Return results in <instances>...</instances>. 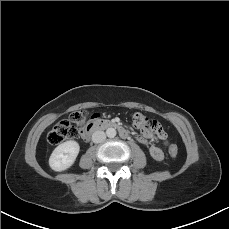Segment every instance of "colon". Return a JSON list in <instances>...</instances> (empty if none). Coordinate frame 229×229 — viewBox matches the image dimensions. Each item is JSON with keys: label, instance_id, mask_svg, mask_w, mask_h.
I'll use <instances>...</instances> for the list:
<instances>
[{"label": "colon", "instance_id": "5ec220e1", "mask_svg": "<svg viewBox=\"0 0 229 229\" xmlns=\"http://www.w3.org/2000/svg\"><path fill=\"white\" fill-rule=\"evenodd\" d=\"M88 118V112L85 110L73 111L68 120H63L55 124L49 133L48 141L50 144L57 145L67 139H73L79 135ZM133 123L138 128H151L153 131L160 130V124L144 115L137 113L133 117ZM178 147L176 144H170L168 152L172 158L177 157Z\"/></svg>", "mask_w": 229, "mask_h": 229}]
</instances>
